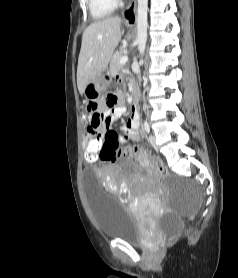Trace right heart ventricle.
<instances>
[{"instance_id":"e07e8e85","label":"right heart ventricle","mask_w":238,"mask_h":278,"mask_svg":"<svg viewBox=\"0 0 238 278\" xmlns=\"http://www.w3.org/2000/svg\"><path fill=\"white\" fill-rule=\"evenodd\" d=\"M89 11L93 19L108 17L117 7L116 0H88Z\"/></svg>"}]
</instances>
